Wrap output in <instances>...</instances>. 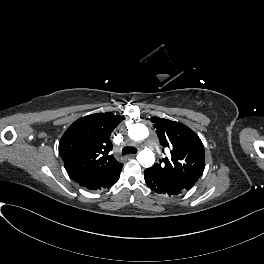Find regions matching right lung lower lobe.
Returning a JSON list of instances; mask_svg holds the SVG:
<instances>
[{"mask_svg": "<svg viewBox=\"0 0 264 264\" xmlns=\"http://www.w3.org/2000/svg\"><path fill=\"white\" fill-rule=\"evenodd\" d=\"M122 167H123V165H121L119 168H117L115 171H113L109 175L105 176L101 180H99V181H97L91 185H88L85 188L89 189V190H93V191L110 188L112 185H114L118 181Z\"/></svg>", "mask_w": 264, "mask_h": 264, "instance_id": "obj_1", "label": "right lung lower lobe"}]
</instances>
